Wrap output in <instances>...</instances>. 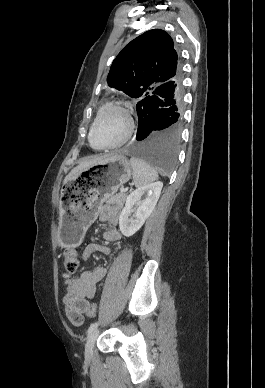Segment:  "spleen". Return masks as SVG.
<instances>
[{"label":"spleen","instance_id":"spleen-1","mask_svg":"<svg viewBox=\"0 0 265 388\" xmlns=\"http://www.w3.org/2000/svg\"><path fill=\"white\" fill-rule=\"evenodd\" d=\"M130 164L133 170V180L136 188L147 186L151 182L158 180V172L151 168L145 160H138V158H130Z\"/></svg>","mask_w":265,"mask_h":388}]
</instances>
